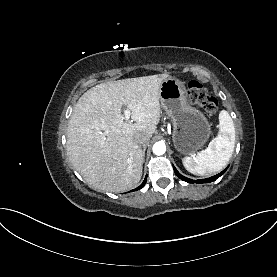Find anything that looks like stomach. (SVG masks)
Segmentation results:
<instances>
[{
	"label": "stomach",
	"mask_w": 277,
	"mask_h": 277,
	"mask_svg": "<svg viewBox=\"0 0 277 277\" xmlns=\"http://www.w3.org/2000/svg\"><path fill=\"white\" fill-rule=\"evenodd\" d=\"M159 98L173 124L172 140L175 149L184 155L195 154L209 139L211 123L189 103L186 87L179 79H164Z\"/></svg>",
	"instance_id": "obj_1"
}]
</instances>
